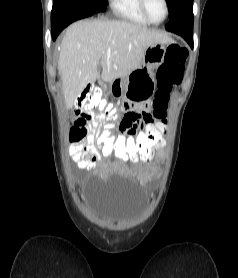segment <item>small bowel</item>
I'll return each instance as SVG.
<instances>
[{
    "label": "small bowel",
    "instance_id": "small-bowel-1",
    "mask_svg": "<svg viewBox=\"0 0 238 278\" xmlns=\"http://www.w3.org/2000/svg\"><path fill=\"white\" fill-rule=\"evenodd\" d=\"M105 124L104 120H93L86 126V136L83 139L75 140L76 146L73 149V157L77 163L78 168L83 170L93 169L97 163L102 160L99 156V148L97 146L98 132L102 125ZM147 124H163L154 123V116L150 113L149 105L147 103L131 104L127 107L124 119L118 127L119 137H135L136 133L140 130H164V129H147ZM147 137V135H146Z\"/></svg>",
    "mask_w": 238,
    "mask_h": 278
}]
</instances>
